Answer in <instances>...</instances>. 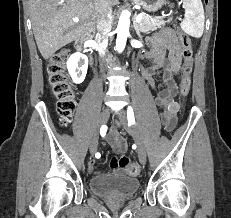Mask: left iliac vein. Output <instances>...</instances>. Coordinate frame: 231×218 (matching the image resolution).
I'll return each mask as SVG.
<instances>
[{"label":"left iliac vein","instance_id":"4c4485c4","mask_svg":"<svg viewBox=\"0 0 231 218\" xmlns=\"http://www.w3.org/2000/svg\"><path fill=\"white\" fill-rule=\"evenodd\" d=\"M119 121H120L121 125L134 138L136 145H137V153H138L139 160L142 164H145V162H146V150H145V146H144L140 131L138 130L136 125H133V124L129 125L128 124L127 115H126V112L124 110H122L119 114Z\"/></svg>","mask_w":231,"mask_h":218}]
</instances>
